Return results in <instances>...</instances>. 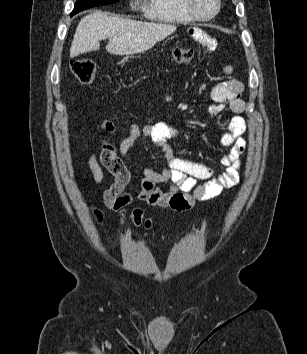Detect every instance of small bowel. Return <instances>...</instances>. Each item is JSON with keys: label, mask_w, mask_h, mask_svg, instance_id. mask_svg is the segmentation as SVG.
Returning a JSON list of instances; mask_svg holds the SVG:
<instances>
[{"label": "small bowel", "mask_w": 307, "mask_h": 354, "mask_svg": "<svg viewBox=\"0 0 307 354\" xmlns=\"http://www.w3.org/2000/svg\"><path fill=\"white\" fill-rule=\"evenodd\" d=\"M189 35L209 50L216 48V41L204 30L191 28ZM226 75L231 76L233 69L230 65L224 66ZM170 86L165 102L172 101ZM243 85L235 80L217 86L212 97L214 104L210 106L209 113L219 118L228 103L234 116L228 122V131L222 135L220 145L229 149L228 153L220 159L225 170L216 178L213 177L212 167L200 161H193L177 156L171 146V141L178 135L177 127L171 122L172 115L167 113V122L139 126L129 124L128 135L122 139L117 148L106 143L99 157L91 154L88 166L97 184L104 179L103 165L113 176V184L104 192V201L114 209L125 207L134 198L160 208H170L175 211L191 209L197 201L208 200L218 196L224 189L235 186L239 181L241 169V156L245 151L246 142L242 135L246 130L244 119L240 116L245 110V104L240 99ZM99 129L113 134L115 124L110 120L100 123ZM145 137L164 159V169L155 172L149 167L141 170L143 180L134 194L127 191L130 183L127 154L135 142ZM167 184L169 189L161 190L158 185Z\"/></svg>", "instance_id": "obj_1"}]
</instances>
